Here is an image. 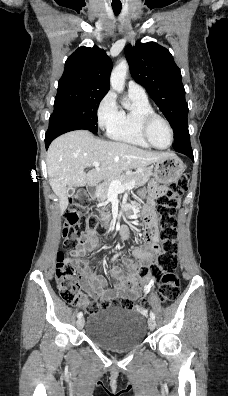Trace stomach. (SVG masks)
<instances>
[{"instance_id": "stomach-1", "label": "stomach", "mask_w": 228, "mask_h": 396, "mask_svg": "<svg viewBox=\"0 0 228 396\" xmlns=\"http://www.w3.org/2000/svg\"><path fill=\"white\" fill-rule=\"evenodd\" d=\"M184 171V165L181 159L171 154L161 161L155 162L154 166L149 168L150 175L162 184H170L179 179Z\"/></svg>"}]
</instances>
